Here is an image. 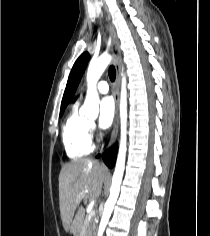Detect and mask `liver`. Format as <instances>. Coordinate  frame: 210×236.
<instances>
[{"instance_id":"liver-1","label":"liver","mask_w":210,"mask_h":236,"mask_svg":"<svg viewBox=\"0 0 210 236\" xmlns=\"http://www.w3.org/2000/svg\"><path fill=\"white\" fill-rule=\"evenodd\" d=\"M107 170L90 159H77L64 165L59 174V203L63 227L66 232H80L84 218V208H76L81 201L87 203L99 197ZM81 198H78V197Z\"/></svg>"}]
</instances>
